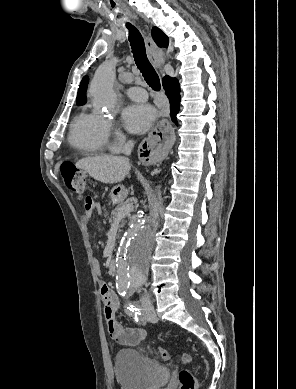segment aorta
Wrapping results in <instances>:
<instances>
[{
    "instance_id": "762f6f07",
    "label": "aorta",
    "mask_w": 296,
    "mask_h": 389,
    "mask_svg": "<svg viewBox=\"0 0 296 389\" xmlns=\"http://www.w3.org/2000/svg\"><path fill=\"white\" fill-rule=\"evenodd\" d=\"M115 77V66L107 62L96 70L90 85L94 102L109 111L118 103ZM153 240L154 232L148 217H141L131 225L117 250V283L120 287L137 289L146 283Z\"/></svg>"
}]
</instances>
